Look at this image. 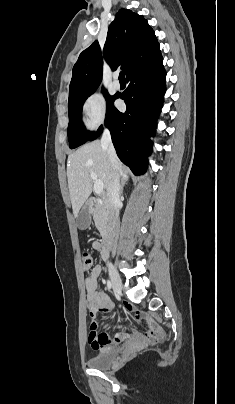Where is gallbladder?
I'll return each instance as SVG.
<instances>
[{"label": "gallbladder", "instance_id": "obj_1", "mask_svg": "<svg viewBox=\"0 0 235 404\" xmlns=\"http://www.w3.org/2000/svg\"><path fill=\"white\" fill-rule=\"evenodd\" d=\"M77 226L81 230H85L90 226L91 223V214L89 212V207L86 205L82 211L80 212L79 216L77 217Z\"/></svg>", "mask_w": 235, "mask_h": 404}]
</instances>
